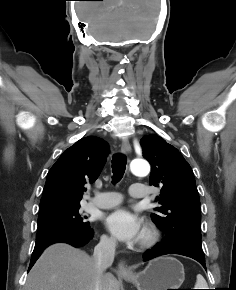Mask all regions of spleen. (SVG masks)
Segmentation results:
<instances>
[{
	"mask_svg": "<svg viewBox=\"0 0 236 290\" xmlns=\"http://www.w3.org/2000/svg\"><path fill=\"white\" fill-rule=\"evenodd\" d=\"M195 289H207V282L201 274L197 275Z\"/></svg>",
	"mask_w": 236,
	"mask_h": 290,
	"instance_id": "1",
	"label": "spleen"
}]
</instances>
